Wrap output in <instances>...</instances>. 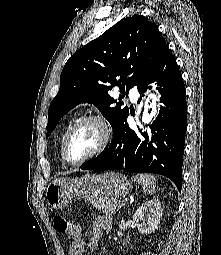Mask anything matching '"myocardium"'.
<instances>
[{
  "mask_svg": "<svg viewBox=\"0 0 221 255\" xmlns=\"http://www.w3.org/2000/svg\"><path fill=\"white\" fill-rule=\"evenodd\" d=\"M89 123H95L100 127L101 133H102L101 142L98 145V147L91 154H89L88 156L84 157L81 160L73 161L70 159V157L68 155L69 142H70L73 134L78 129H80L82 126L89 124ZM111 136H112V128H111L110 123L108 122V120L105 117H103L100 114H91V115L84 116L83 118H81L77 122H75L72 125V127L68 130V132L63 140V144H62V150H61L62 158H63L64 162L70 166L82 165L85 162L100 155L108 146V144L111 140Z\"/></svg>",
  "mask_w": 221,
  "mask_h": 255,
  "instance_id": "f54148a6",
  "label": "myocardium"
}]
</instances>
